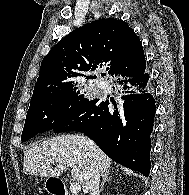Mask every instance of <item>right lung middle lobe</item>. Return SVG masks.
Instances as JSON below:
<instances>
[{
  "instance_id": "dd1d6c3e",
  "label": "right lung middle lobe",
  "mask_w": 189,
  "mask_h": 195,
  "mask_svg": "<svg viewBox=\"0 0 189 195\" xmlns=\"http://www.w3.org/2000/svg\"><path fill=\"white\" fill-rule=\"evenodd\" d=\"M90 101L74 86L31 102L21 140L27 141L38 133L53 130Z\"/></svg>"
}]
</instances>
